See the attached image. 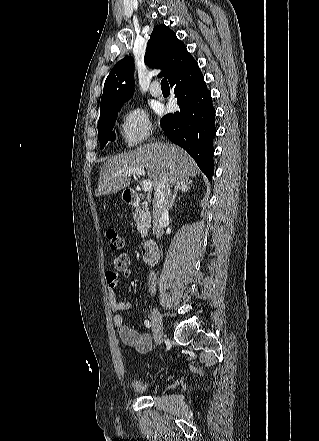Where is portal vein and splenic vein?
Instances as JSON below:
<instances>
[{
    "mask_svg": "<svg viewBox=\"0 0 319 441\" xmlns=\"http://www.w3.org/2000/svg\"><path fill=\"white\" fill-rule=\"evenodd\" d=\"M144 168H129L123 171L115 173L116 176H120L122 174H133V175H145ZM152 189V181L151 179H145L142 181V190L144 192H150Z\"/></svg>",
    "mask_w": 319,
    "mask_h": 441,
    "instance_id": "portal-vein-and-splenic-vein-1",
    "label": "portal vein and splenic vein"
}]
</instances>
